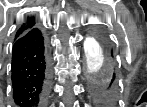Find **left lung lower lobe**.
<instances>
[{
    "mask_svg": "<svg viewBox=\"0 0 147 107\" xmlns=\"http://www.w3.org/2000/svg\"><path fill=\"white\" fill-rule=\"evenodd\" d=\"M107 56L113 57L111 51L107 49ZM116 89V75L111 73L107 77H98L89 88L90 96L97 107H112Z\"/></svg>",
    "mask_w": 147,
    "mask_h": 107,
    "instance_id": "left-lung-lower-lobe-1",
    "label": "left lung lower lobe"
}]
</instances>
